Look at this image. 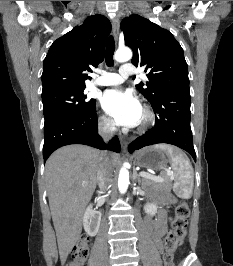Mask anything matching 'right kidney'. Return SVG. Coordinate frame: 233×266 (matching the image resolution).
I'll use <instances>...</instances> for the list:
<instances>
[{
  "label": "right kidney",
  "mask_w": 233,
  "mask_h": 266,
  "mask_svg": "<svg viewBox=\"0 0 233 266\" xmlns=\"http://www.w3.org/2000/svg\"><path fill=\"white\" fill-rule=\"evenodd\" d=\"M101 222V213L88 206L83 217V225L85 232L90 236H95L98 233Z\"/></svg>",
  "instance_id": "right-kidney-1"
}]
</instances>
